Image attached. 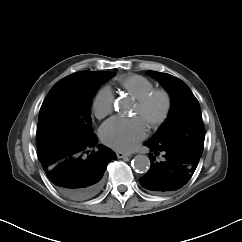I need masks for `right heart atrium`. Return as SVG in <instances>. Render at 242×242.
<instances>
[{
	"instance_id": "1",
	"label": "right heart atrium",
	"mask_w": 242,
	"mask_h": 242,
	"mask_svg": "<svg viewBox=\"0 0 242 242\" xmlns=\"http://www.w3.org/2000/svg\"><path fill=\"white\" fill-rule=\"evenodd\" d=\"M114 95L109 87H102L95 95L92 108L98 118H103L112 111Z\"/></svg>"
}]
</instances>
